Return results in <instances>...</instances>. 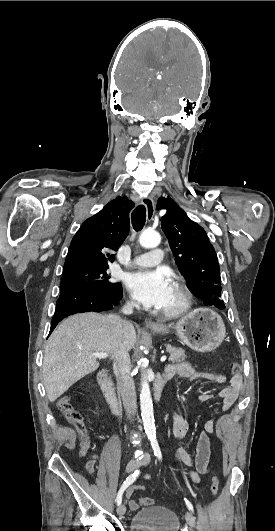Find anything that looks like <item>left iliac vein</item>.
Masks as SVG:
<instances>
[{
  "label": "left iliac vein",
  "instance_id": "obj_1",
  "mask_svg": "<svg viewBox=\"0 0 275 531\" xmlns=\"http://www.w3.org/2000/svg\"><path fill=\"white\" fill-rule=\"evenodd\" d=\"M150 460H151L150 455L148 453H146L145 456H144V459L142 461V464L146 466V465H148L150 463ZM186 522H187V524L189 525L190 528L196 529L195 518H194L193 514L190 511L186 512Z\"/></svg>",
  "mask_w": 275,
  "mask_h": 531
}]
</instances>
